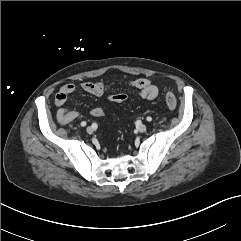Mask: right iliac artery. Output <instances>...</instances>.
I'll list each match as a JSON object with an SVG mask.
<instances>
[{"label":"right iliac artery","mask_w":241,"mask_h":241,"mask_svg":"<svg viewBox=\"0 0 241 241\" xmlns=\"http://www.w3.org/2000/svg\"><path fill=\"white\" fill-rule=\"evenodd\" d=\"M81 126L82 127L86 126V122L85 121L81 122Z\"/></svg>","instance_id":"82829eb1"}]
</instances>
